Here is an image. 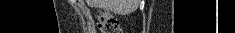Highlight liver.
I'll return each mask as SVG.
<instances>
[{"label":"liver","mask_w":235,"mask_h":33,"mask_svg":"<svg viewBox=\"0 0 235 33\" xmlns=\"http://www.w3.org/2000/svg\"><path fill=\"white\" fill-rule=\"evenodd\" d=\"M94 8H102L117 14L126 15L136 10L139 0H86Z\"/></svg>","instance_id":"1"}]
</instances>
